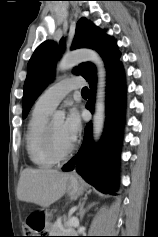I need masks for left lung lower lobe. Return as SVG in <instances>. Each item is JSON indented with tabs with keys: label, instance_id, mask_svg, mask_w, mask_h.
<instances>
[{
	"label": "left lung lower lobe",
	"instance_id": "0a47b994",
	"mask_svg": "<svg viewBox=\"0 0 158 237\" xmlns=\"http://www.w3.org/2000/svg\"><path fill=\"white\" fill-rule=\"evenodd\" d=\"M91 95L86 108L93 112L96 79L89 82ZM125 113V78L121 62L107 70L106 124L98 144L92 141V126L84 131L83 144L77 155L64 165V171H76L88 183L104 193H114L118 186V160Z\"/></svg>",
	"mask_w": 158,
	"mask_h": 237
}]
</instances>
